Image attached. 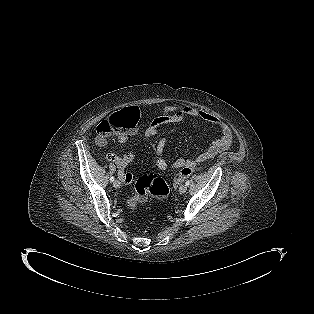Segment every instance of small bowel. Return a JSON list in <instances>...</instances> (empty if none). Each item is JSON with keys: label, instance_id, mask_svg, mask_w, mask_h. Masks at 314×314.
Listing matches in <instances>:
<instances>
[{"label": "small bowel", "instance_id": "c3829d8e", "mask_svg": "<svg viewBox=\"0 0 314 314\" xmlns=\"http://www.w3.org/2000/svg\"><path fill=\"white\" fill-rule=\"evenodd\" d=\"M186 118H198L201 120H204L214 126H216L221 136L214 140L206 150H204L202 153L198 155V157L195 160H188L184 158H178L174 161L173 166L175 168H183L186 166H195L196 162H203L206 160H209L221 152L227 150L232 143V130L230 126L222 121H220L217 117L214 115L197 110L192 107H185L183 109H175V108H166L164 112L155 117L145 130L144 136L145 139L148 140L151 144L152 150L154 151L157 159H156V165L160 170H166L168 168V162L164 158V150L168 142V138L171 134H173L176 131V128H172L167 135L160 138L157 142L153 143L151 142V138L155 136L161 127L169 124H176L180 123ZM136 130L132 131L129 134H120L117 136V139L120 143L127 142L130 137L134 134H136ZM97 144L99 146H106L107 145V139H99L97 138ZM106 158L115 163L118 168L120 169L121 173L120 176L125 183H129L132 180V175L130 173H125L124 169L125 167L134 159V153L133 152H126L123 156H118L114 153H107Z\"/></svg>", "mask_w": 314, "mask_h": 314}]
</instances>
